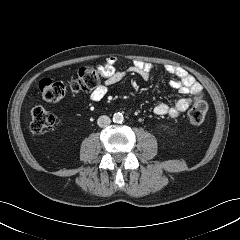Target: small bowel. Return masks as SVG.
<instances>
[{"label":"small bowel","instance_id":"small-bowel-1","mask_svg":"<svg viewBox=\"0 0 240 240\" xmlns=\"http://www.w3.org/2000/svg\"><path fill=\"white\" fill-rule=\"evenodd\" d=\"M118 57L110 56L105 62L100 65L99 72L103 76V82L97 86L90 94L93 101H100L108 92V89L121 82L129 74L138 75L143 79H149L153 73V66L147 62L135 61L126 70H117ZM165 71L173 78L170 81V86L176 89L184 97L178 98L171 104L160 102L154 107V113L158 116L176 117L186 111L191 105V98L202 91V86L184 69L174 66L165 65Z\"/></svg>","mask_w":240,"mask_h":240}]
</instances>
